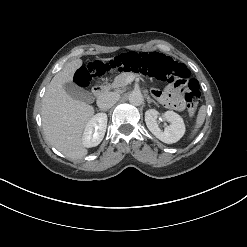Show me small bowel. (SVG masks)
Listing matches in <instances>:
<instances>
[{"label": "small bowel", "mask_w": 247, "mask_h": 247, "mask_svg": "<svg viewBox=\"0 0 247 247\" xmlns=\"http://www.w3.org/2000/svg\"><path fill=\"white\" fill-rule=\"evenodd\" d=\"M156 94L166 106L177 110L184 108L183 100L176 86L168 87L163 93L156 91Z\"/></svg>", "instance_id": "c3829d8e"}]
</instances>
